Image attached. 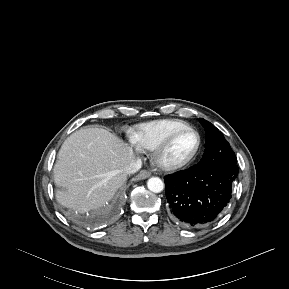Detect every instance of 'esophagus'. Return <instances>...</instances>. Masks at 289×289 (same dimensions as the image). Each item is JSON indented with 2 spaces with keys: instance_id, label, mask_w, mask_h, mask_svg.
<instances>
[{
  "instance_id": "esophagus-1",
  "label": "esophagus",
  "mask_w": 289,
  "mask_h": 289,
  "mask_svg": "<svg viewBox=\"0 0 289 289\" xmlns=\"http://www.w3.org/2000/svg\"><path fill=\"white\" fill-rule=\"evenodd\" d=\"M150 176H151V172L150 171L143 170V171H141L140 173L137 174L136 179L137 180H143V179H146V178H148Z\"/></svg>"
}]
</instances>
